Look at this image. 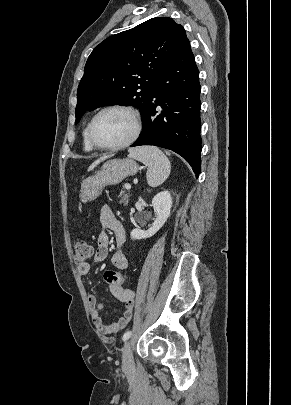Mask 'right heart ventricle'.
<instances>
[{
	"label": "right heart ventricle",
	"mask_w": 291,
	"mask_h": 405,
	"mask_svg": "<svg viewBox=\"0 0 291 405\" xmlns=\"http://www.w3.org/2000/svg\"><path fill=\"white\" fill-rule=\"evenodd\" d=\"M82 143H83V149L86 152H92L94 148L89 144L88 139H87V127L84 128L83 133H82Z\"/></svg>",
	"instance_id": "1"
}]
</instances>
